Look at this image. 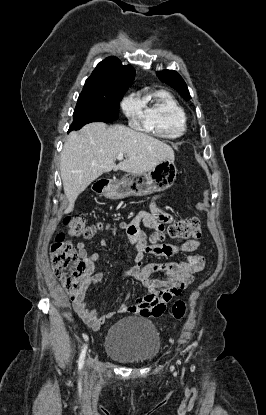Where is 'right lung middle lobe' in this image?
Instances as JSON below:
<instances>
[{
	"label": "right lung middle lobe",
	"mask_w": 266,
	"mask_h": 415,
	"mask_svg": "<svg viewBox=\"0 0 266 415\" xmlns=\"http://www.w3.org/2000/svg\"><path fill=\"white\" fill-rule=\"evenodd\" d=\"M123 95L124 92L109 96L79 95L68 132L79 130L91 122L110 123L117 120Z\"/></svg>",
	"instance_id": "dd1d6c3e"
}]
</instances>
